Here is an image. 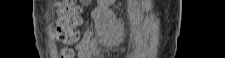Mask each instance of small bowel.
<instances>
[{
  "instance_id": "obj_1",
  "label": "small bowel",
  "mask_w": 225,
  "mask_h": 58,
  "mask_svg": "<svg viewBox=\"0 0 225 58\" xmlns=\"http://www.w3.org/2000/svg\"><path fill=\"white\" fill-rule=\"evenodd\" d=\"M114 3V0H99L93 12V23L84 32L82 41L77 45L76 50L79 58L88 57L89 53L97 50H111L112 45L108 37L116 30L119 20L112 18L107 13V8ZM96 37L90 41L91 35Z\"/></svg>"
}]
</instances>
